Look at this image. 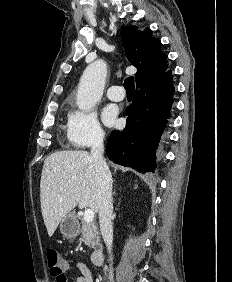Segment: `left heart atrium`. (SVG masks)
Here are the masks:
<instances>
[{
    "instance_id": "left-heart-atrium-1",
    "label": "left heart atrium",
    "mask_w": 232,
    "mask_h": 282,
    "mask_svg": "<svg viewBox=\"0 0 232 282\" xmlns=\"http://www.w3.org/2000/svg\"><path fill=\"white\" fill-rule=\"evenodd\" d=\"M102 118L105 124L114 125L117 120V112L112 106H108L103 110Z\"/></svg>"
}]
</instances>
